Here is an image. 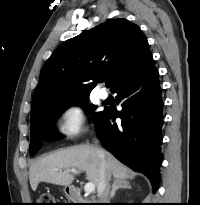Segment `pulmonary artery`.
I'll use <instances>...</instances> for the list:
<instances>
[{"mask_svg":"<svg viewBox=\"0 0 200 205\" xmlns=\"http://www.w3.org/2000/svg\"><path fill=\"white\" fill-rule=\"evenodd\" d=\"M98 95L101 99H107L109 94L107 92V90H105L104 88L100 89L99 92H98Z\"/></svg>","mask_w":200,"mask_h":205,"instance_id":"1","label":"pulmonary artery"}]
</instances>
